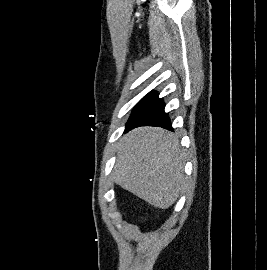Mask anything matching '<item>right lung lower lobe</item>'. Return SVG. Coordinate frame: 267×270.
Wrapping results in <instances>:
<instances>
[{
	"label": "right lung lower lobe",
	"mask_w": 267,
	"mask_h": 270,
	"mask_svg": "<svg viewBox=\"0 0 267 270\" xmlns=\"http://www.w3.org/2000/svg\"><path fill=\"white\" fill-rule=\"evenodd\" d=\"M165 104L157 92H151L134 107L126 124L125 132L139 126H158L172 130L169 116L164 111Z\"/></svg>",
	"instance_id": "right-lung-lower-lobe-1"
}]
</instances>
